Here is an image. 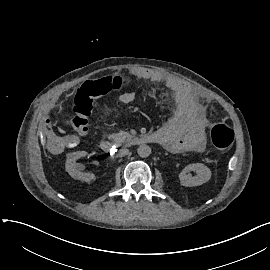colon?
I'll use <instances>...</instances> for the list:
<instances>
[{
  "instance_id": "obj_1",
  "label": "colon",
  "mask_w": 270,
  "mask_h": 270,
  "mask_svg": "<svg viewBox=\"0 0 270 270\" xmlns=\"http://www.w3.org/2000/svg\"><path fill=\"white\" fill-rule=\"evenodd\" d=\"M127 87V81L116 77L111 85L86 82L75 93L72 100L73 115L71 125L81 135L88 132L89 120L93 114L95 101L112 89ZM212 144L219 150L228 149L234 141V132L223 122L215 124L210 131Z\"/></svg>"
}]
</instances>
